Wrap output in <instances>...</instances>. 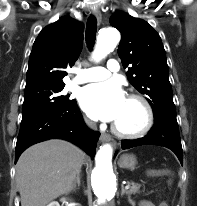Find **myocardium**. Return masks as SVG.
I'll return each instance as SVG.
<instances>
[{
  "instance_id": "obj_1",
  "label": "myocardium",
  "mask_w": 197,
  "mask_h": 206,
  "mask_svg": "<svg viewBox=\"0 0 197 206\" xmlns=\"http://www.w3.org/2000/svg\"><path fill=\"white\" fill-rule=\"evenodd\" d=\"M127 99L136 101L141 105L144 111V116H145L144 124L138 130L126 131V130L121 129L114 123L112 125V130L116 135L120 137H124V138H138V137L144 136L151 129L153 122H154V113H153L152 106L150 102L147 100V98H145L141 94L131 93L127 96Z\"/></svg>"
}]
</instances>
